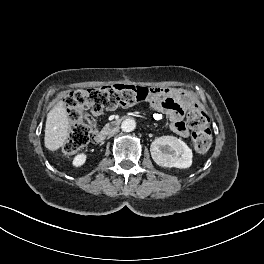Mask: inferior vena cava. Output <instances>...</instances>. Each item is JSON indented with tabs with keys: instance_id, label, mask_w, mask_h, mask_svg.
I'll use <instances>...</instances> for the list:
<instances>
[{
	"instance_id": "1",
	"label": "inferior vena cava",
	"mask_w": 264,
	"mask_h": 264,
	"mask_svg": "<svg viewBox=\"0 0 264 264\" xmlns=\"http://www.w3.org/2000/svg\"><path fill=\"white\" fill-rule=\"evenodd\" d=\"M121 128L119 127V128H115L114 130H113V132H110V133H108V138L110 139V138H113V137H116V135H119L120 134V132H121Z\"/></svg>"
}]
</instances>
